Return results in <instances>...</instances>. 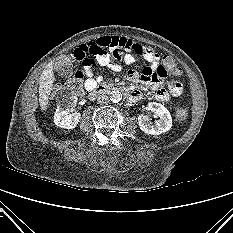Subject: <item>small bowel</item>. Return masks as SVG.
I'll return each mask as SVG.
<instances>
[{"label":"small bowel","instance_id":"1","mask_svg":"<svg viewBox=\"0 0 233 233\" xmlns=\"http://www.w3.org/2000/svg\"><path fill=\"white\" fill-rule=\"evenodd\" d=\"M134 54L141 56L149 65L141 73L129 70L126 77L130 81H140L150 86L155 91V98L160 102H167L171 97L182 93V85L179 81L163 80L159 72L161 65L160 55L152 48L124 37H102L92 42L83 43L74 50V58L79 61L85 75V87L91 91L102 81L101 76H94L96 62L114 72H120L123 64H132L135 61ZM134 100L142 98V93L133 91Z\"/></svg>","mask_w":233,"mask_h":233}]
</instances>
